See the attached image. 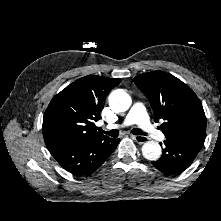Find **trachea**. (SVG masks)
Listing matches in <instances>:
<instances>
[{"mask_svg": "<svg viewBox=\"0 0 221 221\" xmlns=\"http://www.w3.org/2000/svg\"><path fill=\"white\" fill-rule=\"evenodd\" d=\"M99 131L102 133H105L108 136L114 137V138H116L119 135V130H117V129H113L110 131H104L103 129L100 128ZM132 133L134 135H145L146 136V133L138 128L132 129Z\"/></svg>", "mask_w": 221, "mask_h": 221, "instance_id": "1", "label": "trachea"}]
</instances>
